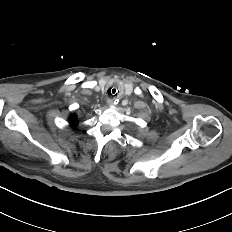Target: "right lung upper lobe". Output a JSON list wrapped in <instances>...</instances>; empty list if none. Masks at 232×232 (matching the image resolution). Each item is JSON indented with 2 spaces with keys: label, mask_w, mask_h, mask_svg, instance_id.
Returning a JSON list of instances; mask_svg holds the SVG:
<instances>
[{
  "label": "right lung upper lobe",
  "mask_w": 232,
  "mask_h": 232,
  "mask_svg": "<svg viewBox=\"0 0 232 232\" xmlns=\"http://www.w3.org/2000/svg\"><path fill=\"white\" fill-rule=\"evenodd\" d=\"M69 122H70V125H71L72 127L76 128L77 123H78L76 115H72V116L69 118Z\"/></svg>",
  "instance_id": "obj_1"
}]
</instances>
